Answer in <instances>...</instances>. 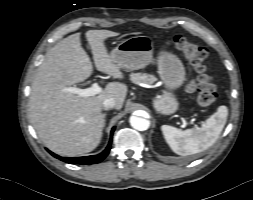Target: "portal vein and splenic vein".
<instances>
[{"mask_svg": "<svg viewBox=\"0 0 253 200\" xmlns=\"http://www.w3.org/2000/svg\"><path fill=\"white\" fill-rule=\"evenodd\" d=\"M65 90L70 93L77 94L80 97H89L101 93L102 88L98 85V83H93L91 87L86 89H80L77 87H68Z\"/></svg>", "mask_w": 253, "mask_h": 200, "instance_id": "obj_1", "label": "portal vein and splenic vein"}]
</instances>
